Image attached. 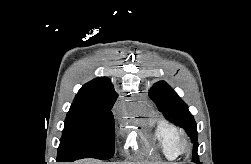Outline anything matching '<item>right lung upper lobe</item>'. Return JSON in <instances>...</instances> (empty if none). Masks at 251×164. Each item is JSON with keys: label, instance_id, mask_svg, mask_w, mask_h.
Segmentation results:
<instances>
[{"label": "right lung upper lobe", "instance_id": "1", "mask_svg": "<svg viewBox=\"0 0 251 164\" xmlns=\"http://www.w3.org/2000/svg\"><path fill=\"white\" fill-rule=\"evenodd\" d=\"M117 98L111 81L106 77L86 83L77 93L74 102L99 106H113Z\"/></svg>", "mask_w": 251, "mask_h": 164}]
</instances>
